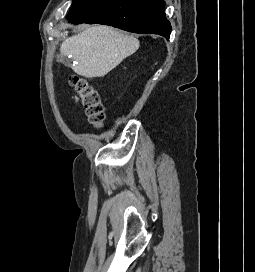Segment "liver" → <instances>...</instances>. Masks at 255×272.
Here are the masks:
<instances>
[{
  "mask_svg": "<svg viewBox=\"0 0 255 272\" xmlns=\"http://www.w3.org/2000/svg\"><path fill=\"white\" fill-rule=\"evenodd\" d=\"M138 48L136 37L105 25H93L64 40L60 53L71 57L75 73L95 78L105 76Z\"/></svg>",
  "mask_w": 255,
  "mask_h": 272,
  "instance_id": "liver-1",
  "label": "liver"
}]
</instances>
